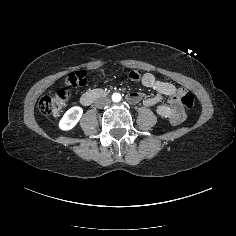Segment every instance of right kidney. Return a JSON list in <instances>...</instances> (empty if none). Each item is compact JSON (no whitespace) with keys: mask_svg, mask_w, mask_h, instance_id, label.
I'll list each match as a JSON object with an SVG mask.
<instances>
[{"mask_svg":"<svg viewBox=\"0 0 236 236\" xmlns=\"http://www.w3.org/2000/svg\"><path fill=\"white\" fill-rule=\"evenodd\" d=\"M83 114V109L79 106H74L66 111L62 119L59 122V128L61 130L72 129L80 120Z\"/></svg>","mask_w":236,"mask_h":236,"instance_id":"ca27d5eb","label":"right kidney"}]
</instances>
